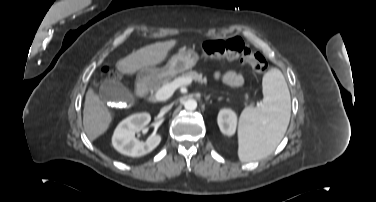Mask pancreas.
<instances>
[{
  "mask_svg": "<svg viewBox=\"0 0 376 202\" xmlns=\"http://www.w3.org/2000/svg\"><path fill=\"white\" fill-rule=\"evenodd\" d=\"M178 78H190L192 80H195L196 82L200 83V84H206L207 83V79L205 77H203L201 74H198L196 71H192V70H189V71H186V72H183L181 74V76L179 77H176L175 79H178ZM174 79V80H175ZM172 82V78L170 77H162L160 79H158L157 81L153 82L151 85H150V92H151V99L153 101H155V93L165 84H168V83H171ZM254 105V103L252 102L250 104V106L252 107Z\"/></svg>",
  "mask_w": 376,
  "mask_h": 202,
  "instance_id": "pancreas-1",
  "label": "pancreas"
}]
</instances>
